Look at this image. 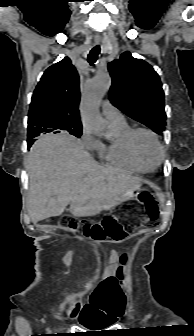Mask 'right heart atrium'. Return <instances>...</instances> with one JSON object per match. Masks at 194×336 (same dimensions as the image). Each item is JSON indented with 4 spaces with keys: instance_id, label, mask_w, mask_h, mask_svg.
Instances as JSON below:
<instances>
[{
    "instance_id": "1",
    "label": "right heart atrium",
    "mask_w": 194,
    "mask_h": 336,
    "mask_svg": "<svg viewBox=\"0 0 194 336\" xmlns=\"http://www.w3.org/2000/svg\"><path fill=\"white\" fill-rule=\"evenodd\" d=\"M82 141L85 147L91 151H97L100 141L97 140L90 132L86 129L82 132Z\"/></svg>"
}]
</instances>
